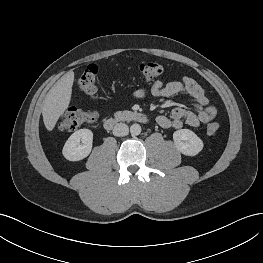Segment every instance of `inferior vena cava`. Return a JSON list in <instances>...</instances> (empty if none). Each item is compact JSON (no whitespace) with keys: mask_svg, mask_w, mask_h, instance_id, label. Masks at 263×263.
Masks as SVG:
<instances>
[{"mask_svg":"<svg viewBox=\"0 0 263 263\" xmlns=\"http://www.w3.org/2000/svg\"><path fill=\"white\" fill-rule=\"evenodd\" d=\"M129 132V127L124 123H118L113 128L114 136H126Z\"/></svg>","mask_w":263,"mask_h":263,"instance_id":"inferior-vena-cava-1","label":"inferior vena cava"}]
</instances>
